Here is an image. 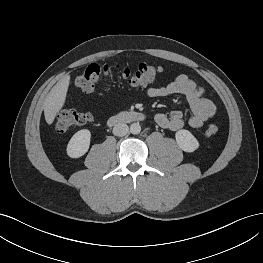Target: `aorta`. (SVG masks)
I'll return each mask as SVG.
<instances>
[{"mask_svg":"<svg viewBox=\"0 0 263 263\" xmlns=\"http://www.w3.org/2000/svg\"><path fill=\"white\" fill-rule=\"evenodd\" d=\"M140 131H141V126H140L139 123H132V124L130 125V132H131L132 134H139Z\"/></svg>","mask_w":263,"mask_h":263,"instance_id":"aorta-1","label":"aorta"}]
</instances>
